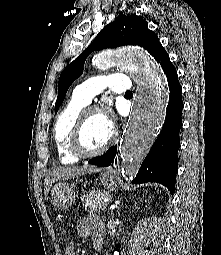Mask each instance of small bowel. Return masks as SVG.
Segmentation results:
<instances>
[{"label":"small bowel","instance_id":"small-bowel-1","mask_svg":"<svg viewBox=\"0 0 221 255\" xmlns=\"http://www.w3.org/2000/svg\"><path fill=\"white\" fill-rule=\"evenodd\" d=\"M76 232L80 237L91 236L92 239L98 237L103 239L104 237V226L99 217L89 216L76 225ZM67 255H75L74 243H69L66 247Z\"/></svg>","mask_w":221,"mask_h":255}]
</instances>
